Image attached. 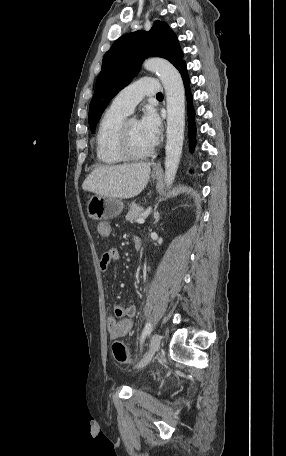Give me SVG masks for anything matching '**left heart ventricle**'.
Returning a JSON list of instances; mask_svg holds the SVG:
<instances>
[{
	"label": "left heart ventricle",
	"mask_w": 286,
	"mask_h": 456,
	"mask_svg": "<svg viewBox=\"0 0 286 456\" xmlns=\"http://www.w3.org/2000/svg\"><path fill=\"white\" fill-rule=\"evenodd\" d=\"M130 148L133 153L140 154L147 151L153 142L140 128L137 120H130L128 124Z\"/></svg>",
	"instance_id": "b2bd125f"
}]
</instances>
